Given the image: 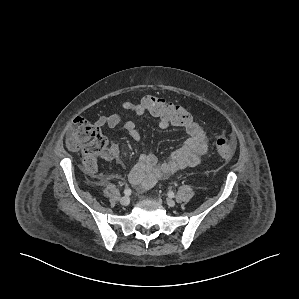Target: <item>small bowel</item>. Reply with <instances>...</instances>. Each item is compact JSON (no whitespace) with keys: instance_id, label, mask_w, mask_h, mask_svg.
Segmentation results:
<instances>
[{"instance_id":"small-bowel-1","label":"small bowel","mask_w":299,"mask_h":299,"mask_svg":"<svg viewBox=\"0 0 299 299\" xmlns=\"http://www.w3.org/2000/svg\"><path fill=\"white\" fill-rule=\"evenodd\" d=\"M122 108L137 116H141L146 113L141 102L133 103L125 101L122 103ZM122 121L123 116L116 113L109 116H100L96 120L95 125L97 127L114 128ZM158 124L162 129H166L171 126L162 120H159ZM124 128L133 140L137 142L141 141L142 135L134 120L125 121ZM183 128L187 135V139L180 148L171 153L166 161L159 162L153 153L147 150L142 151L137 162L129 173V181L139 191L147 190L158 181L186 168L194 167L200 163L202 156L208 150L207 136L201 126L194 120ZM118 156L119 147L115 143L110 144L99 154V157L107 162L116 160Z\"/></svg>"}]
</instances>
